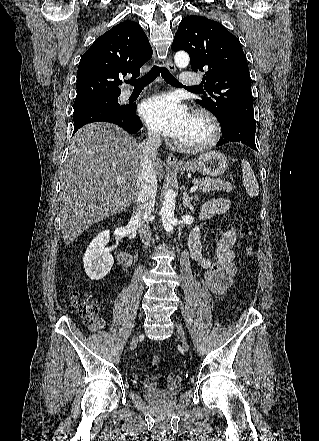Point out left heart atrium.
<instances>
[{
    "instance_id": "obj_1",
    "label": "left heart atrium",
    "mask_w": 319,
    "mask_h": 441,
    "mask_svg": "<svg viewBox=\"0 0 319 441\" xmlns=\"http://www.w3.org/2000/svg\"><path fill=\"white\" fill-rule=\"evenodd\" d=\"M140 114L151 129L176 139L183 136L192 120L187 108L171 94L147 98L140 105Z\"/></svg>"
}]
</instances>
